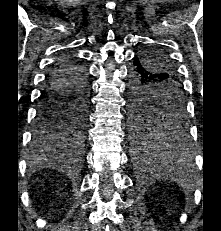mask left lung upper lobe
I'll list each match as a JSON object with an SVG mask.
<instances>
[{"instance_id": "5c2ea615", "label": "left lung upper lobe", "mask_w": 221, "mask_h": 231, "mask_svg": "<svg viewBox=\"0 0 221 231\" xmlns=\"http://www.w3.org/2000/svg\"><path fill=\"white\" fill-rule=\"evenodd\" d=\"M146 68L158 76H163L158 83L163 87L157 94H145L144 97L153 102L136 112H130V121L135 141L145 142L153 138L154 130L174 126L185 119V102L180 81L166 53L154 48L146 53ZM159 97L154 102L155 98Z\"/></svg>"}]
</instances>
